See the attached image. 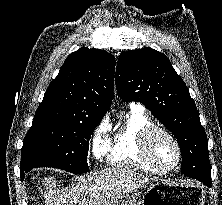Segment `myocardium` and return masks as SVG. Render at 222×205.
<instances>
[{
	"mask_svg": "<svg viewBox=\"0 0 222 205\" xmlns=\"http://www.w3.org/2000/svg\"><path fill=\"white\" fill-rule=\"evenodd\" d=\"M156 133H161L165 135L167 138H169L173 142L176 148L177 158L174 165L171 167L166 168L159 165L152 156V153L149 147V141L151 137ZM139 148H140V152L143 158L148 162V164H150L153 168H155L160 173H169L176 170L179 167L182 160V148L178 139L174 136V134L171 131H169L167 128L162 127V126L151 125L147 127L146 129H144L139 135Z\"/></svg>",
	"mask_w": 222,
	"mask_h": 205,
	"instance_id": "obj_1",
	"label": "myocardium"
}]
</instances>
